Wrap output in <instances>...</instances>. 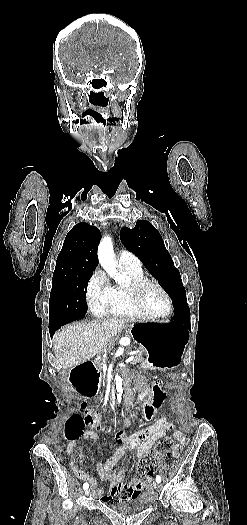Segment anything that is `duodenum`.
Returning a JSON list of instances; mask_svg holds the SVG:
<instances>
[{
    "mask_svg": "<svg viewBox=\"0 0 247 525\" xmlns=\"http://www.w3.org/2000/svg\"><path fill=\"white\" fill-rule=\"evenodd\" d=\"M71 385L83 396H94L99 389L101 382V373L98 366L93 361H84L72 369L69 375ZM116 391L110 392V400L114 401ZM133 399L134 395H130Z\"/></svg>",
    "mask_w": 247,
    "mask_h": 525,
    "instance_id": "1",
    "label": "duodenum"
}]
</instances>
